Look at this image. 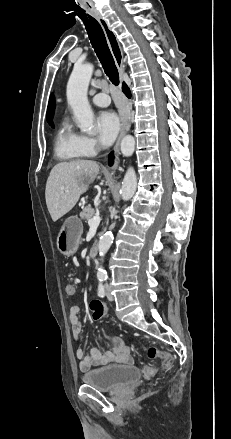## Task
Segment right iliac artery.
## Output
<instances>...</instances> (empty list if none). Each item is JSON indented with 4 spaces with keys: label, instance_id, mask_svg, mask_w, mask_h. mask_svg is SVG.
I'll return each mask as SVG.
<instances>
[{
    "label": "right iliac artery",
    "instance_id": "82829eb1",
    "mask_svg": "<svg viewBox=\"0 0 231 439\" xmlns=\"http://www.w3.org/2000/svg\"><path fill=\"white\" fill-rule=\"evenodd\" d=\"M100 281H102V280L100 279ZM98 295H99L100 297H104V296H105L104 285H103L102 283H99V286H98Z\"/></svg>",
    "mask_w": 231,
    "mask_h": 439
}]
</instances>
